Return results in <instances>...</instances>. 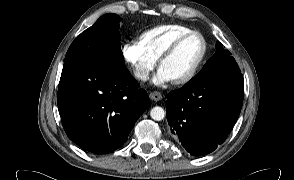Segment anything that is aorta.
<instances>
[{
	"instance_id": "1",
	"label": "aorta",
	"mask_w": 294,
	"mask_h": 180,
	"mask_svg": "<svg viewBox=\"0 0 294 180\" xmlns=\"http://www.w3.org/2000/svg\"><path fill=\"white\" fill-rule=\"evenodd\" d=\"M150 116L155 121H161L165 117V111L162 107L155 106L150 110Z\"/></svg>"
}]
</instances>
